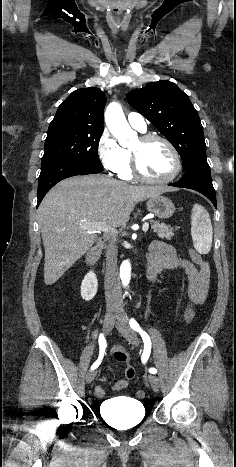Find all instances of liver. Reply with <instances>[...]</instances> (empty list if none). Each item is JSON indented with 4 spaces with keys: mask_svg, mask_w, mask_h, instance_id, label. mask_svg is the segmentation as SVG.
Returning <instances> with one entry per match:
<instances>
[{
    "mask_svg": "<svg viewBox=\"0 0 236 467\" xmlns=\"http://www.w3.org/2000/svg\"><path fill=\"white\" fill-rule=\"evenodd\" d=\"M175 189L133 186L104 175L74 176L62 180L44 197L38 222L45 249L44 282L54 284L94 244L103 222L126 225L136 203Z\"/></svg>",
    "mask_w": 236,
    "mask_h": 467,
    "instance_id": "1",
    "label": "liver"
}]
</instances>
